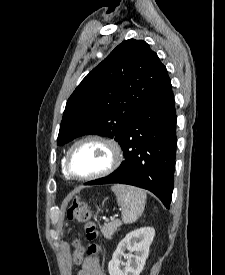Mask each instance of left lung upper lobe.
Returning <instances> with one entry per match:
<instances>
[{
	"label": "left lung upper lobe",
	"mask_w": 225,
	"mask_h": 275,
	"mask_svg": "<svg viewBox=\"0 0 225 275\" xmlns=\"http://www.w3.org/2000/svg\"><path fill=\"white\" fill-rule=\"evenodd\" d=\"M169 78L142 40L123 41L79 84L66 103L57 144L97 134L121 143L128 126Z\"/></svg>",
	"instance_id": "5c2ea615"
}]
</instances>
